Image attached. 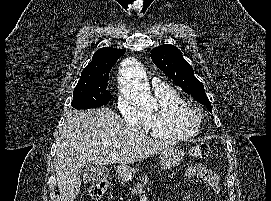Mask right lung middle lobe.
Listing matches in <instances>:
<instances>
[{"label": "right lung middle lobe", "instance_id": "right-lung-middle-lobe-1", "mask_svg": "<svg viewBox=\"0 0 271 201\" xmlns=\"http://www.w3.org/2000/svg\"><path fill=\"white\" fill-rule=\"evenodd\" d=\"M108 80L109 75L80 78L73 92L72 107L88 109L107 104L113 98L107 89Z\"/></svg>", "mask_w": 271, "mask_h": 201}]
</instances>
